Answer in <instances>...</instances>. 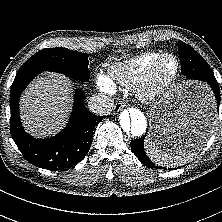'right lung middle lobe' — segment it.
Returning <instances> with one entry per match:
<instances>
[{
    "mask_svg": "<svg viewBox=\"0 0 222 222\" xmlns=\"http://www.w3.org/2000/svg\"><path fill=\"white\" fill-rule=\"evenodd\" d=\"M86 53L68 50L66 48L42 49L30 57L19 69L22 71H53L65 74L69 78L87 82L90 78Z\"/></svg>",
    "mask_w": 222,
    "mask_h": 222,
    "instance_id": "dd1d6c3e",
    "label": "right lung middle lobe"
}]
</instances>
